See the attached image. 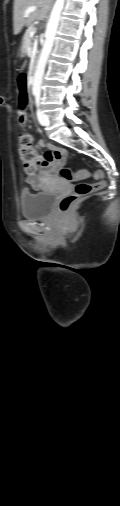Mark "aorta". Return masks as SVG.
Here are the masks:
<instances>
[{"label":"aorta","instance_id":"762f6f07","mask_svg":"<svg viewBox=\"0 0 120 506\" xmlns=\"http://www.w3.org/2000/svg\"><path fill=\"white\" fill-rule=\"evenodd\" d=\"M63 7H64V0H56L46 27L45 41L34 74L32 86V92L34 95H39L41 92V85L43 81L46 64L54 44Z\"/></svg>","mask_w":120,"mask_h":506}]
</instances>
